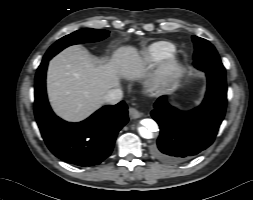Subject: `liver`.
Here are the masks:
<instances>
[{
	"label": "liver",
	"mask_w": 253,
	"mask_h": 200,
	"mask_svg": "<svg viewBox=\"0 0 253 200\" xmlns=\"http://www.w3.org/2000/svg\"><path fill=\"white\" fill-rule=\"evenodd\" d=\"M146 62L133 46L121 47L106 64H97L81 46L56 55L47 72V92L54 112L68 121H81L98 109L103 96L119 87L120 78L146 75Z\"/></svg>",
	"instance_id": "6515ba94"
}]
</instances>
